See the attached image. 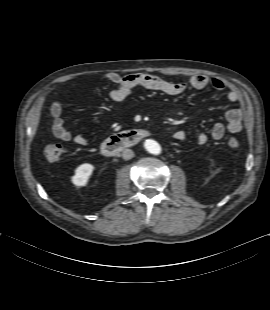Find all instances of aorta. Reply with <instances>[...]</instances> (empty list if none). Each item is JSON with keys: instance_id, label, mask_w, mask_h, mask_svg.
Listing matches in <instances>:
<instances>
[{"instance_id": "1", "label": "aorta", "mask_w": 270, "mask_h": 310, "mask_svg": "<svg viewBox=\"0 0 270 310\" xmlns=\"http://www.w3.org/2000/svg\"><path fill=\"white\" fill-rule=\"evenodd\" d=\"M144 145L146 150L151 154L158 155L161 153V146L154 140H146Z\"/></svg>"}]
</instances>
